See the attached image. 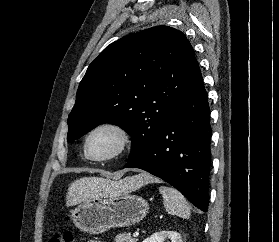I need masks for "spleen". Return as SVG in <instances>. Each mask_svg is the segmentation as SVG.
I'll list each match as a JSON object with an SVG mask.
<instances>
[{
	"instance_id": "1",
	"label": "spleen",
	"mask_w": 279,
	"mask_h": 242,
	"mask_svg": "<svg viewBox=\"0 0 279 242\" xmlns=\"http://www.w3.org/2000/svg\"><path fill=\"white\" fill-rule=\"evenodd\" d=\"M159 192L163 197V204L166 211L171 215L182 218L190 217V207L185 197L173 187L161 186Z\"/></svg>"
}]
</instances>
